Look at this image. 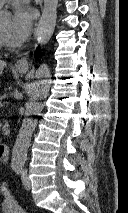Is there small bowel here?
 <instances>
[{
  "label": "small bowel",
  "mask_w": 128,
  "mask_h": 213,
  "mask_svg": "<svg viewBox=\"0 0 128 213\" xmlns=\"http://www.w3.org/2000/svg\"><path fill=\"white\" fill-rule=\"evenodd\" d=\"M0 210H1V213H10L5 201L2 202Z\"/></svg>",
  "instance_id": "small-bowel-1"
}]
</instances>
